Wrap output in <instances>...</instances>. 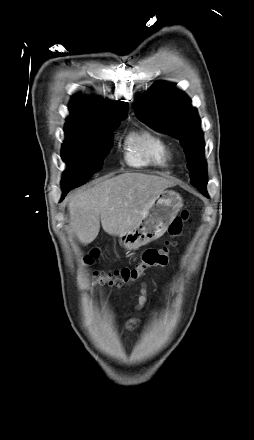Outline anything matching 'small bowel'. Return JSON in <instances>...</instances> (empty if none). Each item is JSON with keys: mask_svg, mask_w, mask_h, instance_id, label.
<instances>
[{"mask_svg": "<svg viewBox=\"0 0 254 440\" xmlns=\"http://www.w3.org/2000/svg\"><path fill=\"white\" fill-rule=\"evenodd\" d=\"M146 302H147V288H146V285L143 283L141 286V289H140V295H139L138 302H137V305L135 308L137 310L142 309L144 307V305L146 304ZM137 321L138 320L136 318L130 319L128 321V327L131 328L133 325H135L137 323Z\"/></svg>", "mask_w": 254, "mask_h": 440, "instance_id": "1", "label": "small bowel"}]
</instances>
